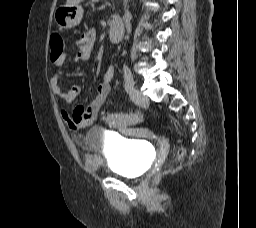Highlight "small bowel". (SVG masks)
<instances>
[{"label": "small bowel", "mask_w": 256, "mask_h": 228, "mask_svg": "<svg viewBox=\"0 0 256 228\" xmlns=\"http://www.w3.org/2000/svg\"><path fill=\"white\" fill-rule=\"evenodd\" d=\"M96 40V34L94 30H88L82 34L80 39L74 46V52L76 53V60L85 61L88 60L94 51ZM66 60V53L60 54L56 58L51 57L52 63L61 67ZM114 75V68L111 66L107 69L103 81L96 88V95L93 101L87 105L77 106L74 111L70 114L67 110H62V118L66 122L67 126L73 130L78 131L81 129L92 126L98 119L100 110L105 100L108 98L111 92V79ZM59 75L54 74L50 79V87L52 92L59 96L67 105H70L78 97L81 92V87L78 84H73L67 90L62 91L59 85Z\"/></svg>", "instance_id": "1"}]
</instances>
